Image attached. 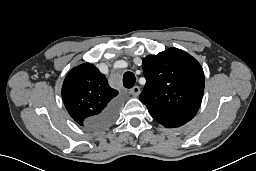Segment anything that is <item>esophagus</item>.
Returning a JSON list of instances; mask_svg holds the SVG:
<instances>
[{
	"label": "esophagus",
	"mask_w": 256,
	"mask_h": 171,
	"mask_svg": "<svg viewBox=\"0 0 256 171\" xmlns=\"http://www.w3.org/2000/svg\"><path fill=\"white\" fill-rule=\"evenodd\" d=\"M130 94L134 97L139 96L140 94V87L139 86H134L132 89H130Z\"/></svg>",
	"instance_id": "esophagus-1"
}]
</instances>
